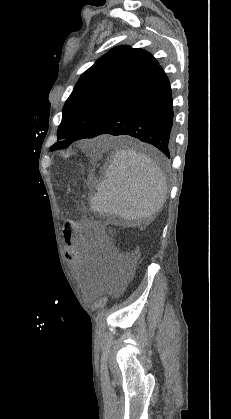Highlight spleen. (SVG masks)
<instances>
[{
	"mask_svg": "<svg viewBox=\"0 0 231 419\" xmlns=\"http://www.w3.org/2000/svg\"><path fill=\"white\" fill-rule=\"evenodd\" d=\"M165 176L148 156L132 149L117 150L97 185L91 208L126 220L150 219L163 206Z\"/></svg>",
	"mask_w": 231,
	"mask_h": 419,
	"instance_id": "1",
	"label": "spleen"
}]
</instances>
